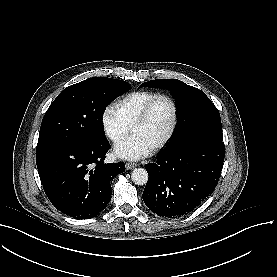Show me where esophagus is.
I'll list each match as a JSON object with an SVG mask.
<instances>
[{"mask_svg":"<svg viewBox=\"0 0 277 277\" xmlns=\"http://www.w3.org/2000/svg\"><path fill=\"white\" fill-rule=\"evenodd\" d=\"M138 166V163L135 162H127L126 163V169H133L134 167Z\"/></svg>","mask_w":277,"mask_h":277,"instance_id":"obj_1","label":"esophagus"}]
</instances>
